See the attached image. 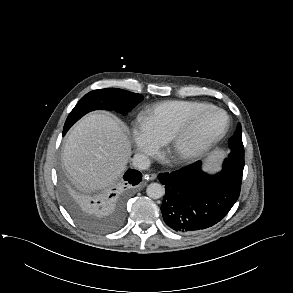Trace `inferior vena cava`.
Returning <instances> with one entry per match:
<instances>
[{"mask_svg": "<svg viewBox=\"0 0 293 293\" xmlns=\"http://www.w3.org/2000/svg\"><path fill=\"white\" fill-rule=\"evenodd\" d=\"M132 164L135 167V169L145 170L150 167L151 162L148 156L137 153L133 156Z\"/></svg>", "mask_w": 293, "mask_h": 293, "instance_id": "inferior-vena-cava-1", "label": "inferior vena cava"}]
</instances>
